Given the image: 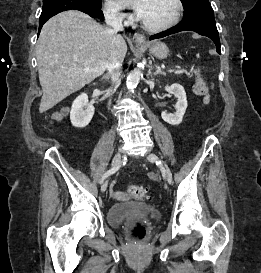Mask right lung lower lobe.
Returning <instances> with one entry per match:
<instances>
[{
    "label": "right lung lower lobe",
    "instance_id": "1",
    "mask_svg": "<svg viewBox=\"0 0 261 273\" xmlns=\"http://www.w3.org/2000/svg\"><path fill=\"white\" fill-rule=\"evenodd\" d=\"M61 4L57 6V9H54L49 12H43L39 18V31L41 30L43 24L52 16L58 14L59 12L66 11V10H80L92 18H104L103 12L101 8L88 4L85 0H62L60 1ZM39 34V32H38Z\"/></svg>",
    "mask_w": 261,
    "mask_h": 273
}]
</instances>
